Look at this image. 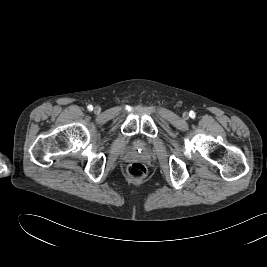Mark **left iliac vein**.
I'll return each mask as SVG.
<instances>
[{"label":"left iliac vein","mask_w":267,"mask_h":267,"mask_svg":"<svg viewBox=\"0 0 267 267\" xmlns=\"http://www.w3.org/2000/svg\"><path fill=\"white\" fill-rule=\"evenodd\" d=\"M183 117H184L185 119H188V118H189V114H188L187 112H185V113L183 114Z\"/></svg>","instance_id":"left-iliac-vein-1"}]
</instances>
